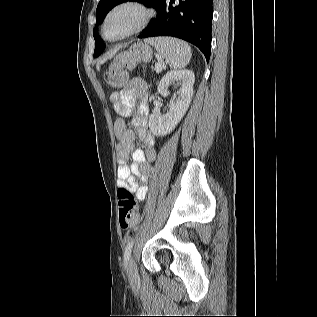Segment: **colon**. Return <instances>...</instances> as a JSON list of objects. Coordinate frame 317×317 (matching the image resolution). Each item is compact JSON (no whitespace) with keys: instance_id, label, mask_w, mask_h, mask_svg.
Returning <instances> with one entry per match:
<instances>
[{"instance_id":"5ec220e1","label":"colon","mask_w":317,"mask_h":317,"mask_svg":"<svg viewBox=\"0 0 317 317\" xmlns=\"http://www.w3.org/2000/svg\"><path fill=\"white\" fill-rule=\"evenodd\" d=\"M128 66L126 56L116 57L109 66L106 73V82L112 87H121L127 82L125 68ZM118 211L119 224L122 228L136 226L139 213L133 194L127 188L121 187L118 190Z\"/></svg>"}]
</instances>
